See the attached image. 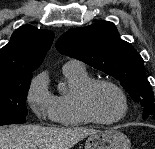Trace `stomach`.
<instances>
[{"mask_svg": "<svg viewBox=\"0 0 155 149\" xmlns=\"http://www.w3.org/2000/svg\"><path fill=\"white\" fill-rule=\"evenodd\" d=\"M85 149H131V143L121 131L111 128L89 135Z\"/></svg>", "mask_w": 155, "mask_h": 149, "instance_id": "obj_1", "label": "stomach"}]
</instances>
